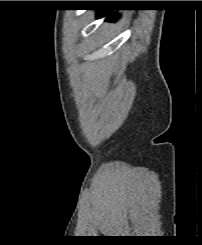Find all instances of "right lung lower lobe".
<instances>
[{"instance_id": "right-lung-lower-lobe-1", "label": "right lung lower lobe", "mask_w": 202, "mask_h": 245, "mask_svg": "<svg viewBox=\"0 0 202 245\" xmlns=\"http://www.w3.org/2000/svg\"><path fill=\"white\" fill-rule=\"evenodd\" d=\"M98 11L99 12H98L97 16L98 17H103L106 14H108L111 10H98ZM108 18H109L110 21H116L117 16L114 13H111Z\"/></svg>"}]
</instances>
